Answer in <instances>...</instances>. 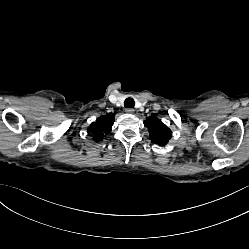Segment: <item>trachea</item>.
<instances>
[{
	"mask_svg": "<svg viewBox=\"0 0 249 249\" xmlns=\"http://www.w3.org/2000/svg\"><path fill=\"white\" fill-rule=\"evenodd\" d=\"M134 105H135V102H134V100H133L132 98H127V99L125 100V102H124V106H125L126 108H133Z\"/></svg>",
	"mask_w": 249,
	"mask_h": 249,
	"instance_id": "trachea-1",
	"label": "trachea"
}]
</instances>
